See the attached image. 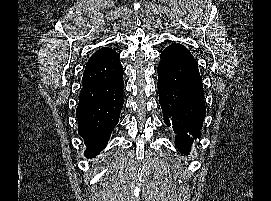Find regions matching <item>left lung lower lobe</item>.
<instances>
[{"instance_id":"1","label":"left lung lower lobe","mask_w":271,"mask_h":201,"mask_svg":"<svg viewBox=\"0 0 271 201\" xmlns=\"http://www.w3.org/2000/svg\"><path fill=\"white\" fill-rule=\"evenodd\" d=\"M157 73L164 123L177 134V149L188 155L194 140L201 136L206 113L197 62L187 48L173 43L161 52Z\"/></svg>"}]
</instances>
